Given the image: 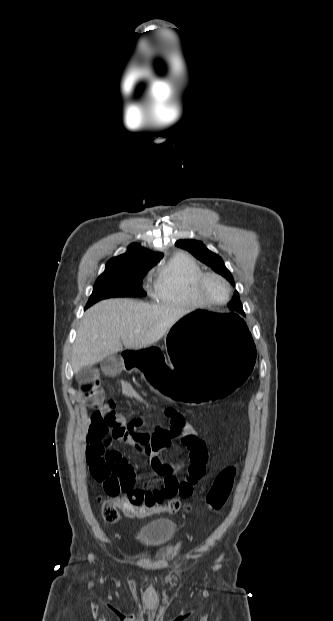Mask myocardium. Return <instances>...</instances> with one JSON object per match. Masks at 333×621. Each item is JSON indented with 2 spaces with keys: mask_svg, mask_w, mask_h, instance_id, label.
Masks as SVG:
<instances>
[{
  "mask_svg": "<svg viewBox=\"0 0 333 621\" xmlns=\"http://www.w3.org/2000/svg\"><path fill=\"white\" fill-rule=\"evenodd\" d=\"M209 278H215L220 280L225 288H226V296L223 300L221 301H215L212 300L211 298H209L205 292H204V284L206 282L207 279ZM194 292L196 297L199 299V301L206 306H220V305H224L226 304L232 294V286L230 284V282L221 274L216 273V272H204L202 273L195 281L194 283Z\"/></svg>",
  "mask_w": 333,
  "mask_h": 621,
  "instance_id": "obj_1",
  "label": "myocardium"
}]
</instances>
